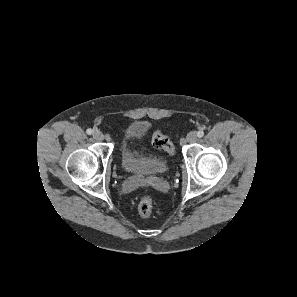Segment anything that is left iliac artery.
I'll return each instance as SVG.
<instances>
[{
	"label": "left iliac artery",
	"instance_id": "left-iliac-artery-1",
	"mask_svg": "<svg viewBox=\"0 0 297 297\" xmlns=\"http://www.w3.org/2000/svg\"><path fill=\"white\" fill-rule=\"evenodd\" d=\"M197 136H198L199 138L203 137V136H204V132H203L202 130L198 131V132H197Z\"/></svg>",
	"mask_w": 297,
	"mask_h": 297
}]
</instances>
